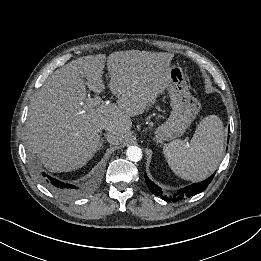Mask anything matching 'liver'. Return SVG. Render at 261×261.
<instances>
[{
    "mask_svg": "<svg viewBox=\"0 0 261 261\" xmlns=\"http://www.w3.org/2000/svg\"><path fill=\"white\" fill-rule=\"evenodd\" d=\"M174 55L139 50L80 57L56 70L41 87L29 107L26 145L52 172H68L84 166L100 145L102 127L107 141L122 144L132 127L130 117L155 103L169 81ZM107 62L110 90L117 104H87L86 86L104 90Z\"/></svg>",
    "mask_w": 261,
    "mask_h": 261,
    "instance_id": "obj_1",
    "label": "liver"
}]
</instances>
